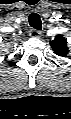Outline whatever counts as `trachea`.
<instances>
[{"label": "trachea", "mask_w": 71, "mask_h": 119, "mask_svg": "<svg viewBox=\"0 0 71 119\" xmlns=\"http://www.w3.org/2000/svg\"><path fill=\"white\" fill-rule=\"evenodd\" d=\"M28 20L31 27L37 30H41L42 22L40 16L37 13H31L28 17Z\"/></svg>", "instance_id": "trachea-1"}]
</instances>
